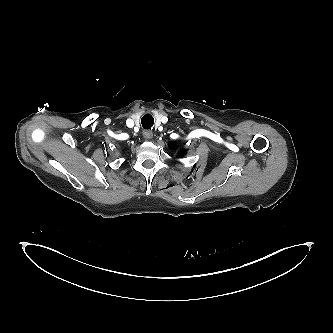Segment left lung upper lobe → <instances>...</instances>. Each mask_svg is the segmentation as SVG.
<instances>
[{"mask_svg":"<svg viewBox=\"0 0 333 333\" xmlns=\"http://www.w3.org/2000/svg\"><path fill=\"white\" fill-rule=\"evenodd\" d=\"M185 154V151H182L179 156L182 157Z\"/></svg>","mask_w":333,"mask_h":333,"instance_id":"left-lung-upper-lobe-1","label":"left lung upper lobe"}]
</instances>
